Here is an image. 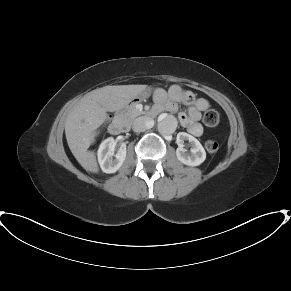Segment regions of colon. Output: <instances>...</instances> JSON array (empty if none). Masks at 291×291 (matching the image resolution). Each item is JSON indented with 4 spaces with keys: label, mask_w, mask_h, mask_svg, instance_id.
Segmentation results:
<instances>
[{
    "label": "colon",
    "mask_w": 291,
    "mask_h": 291,
    "mask_svg": "<svg viewBox=\"0 0 291 291\" xmlns=\"http://www.w3.org/2000/svg\"><path fill=\"white\" fill-rule=\"evenodd\" d=\"M203 122L208 127L217 126L220 122V115L216 110L210 109L203 114ZM205 148L209 153H215L219 149V144L215 140H208Z\"/></svg>",
    "instance_id": "colon-1"
}]
</instances>
